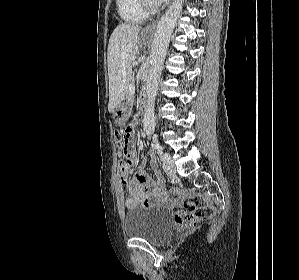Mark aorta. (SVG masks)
<instances>
[{
    "label": "aorta",
    "instance_id": "obj_1",
    "mask_svg": "<svg viewBox=\"0 0 299 280\" xmlns=\"http://www.w3.org/2000/svg\"><path fill=\"white\" fill-rule=\"evenodd\" d=\"M182 4L183 0H174L166 13L161 17L154 34L152 53L150 56V68L146 82L147 106L143 119V128L148 135H151L155 129L154 105L158 85L170 38L177 19L182 12Z\"/></svg>",
    "mask_w": 299,
    "mask_h": 280
}]
</instances>
